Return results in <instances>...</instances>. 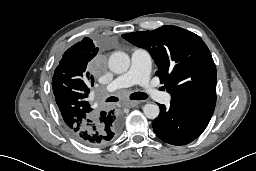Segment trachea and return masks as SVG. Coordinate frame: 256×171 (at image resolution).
Masks as SVG:
<instances>
[{
    "mask_svg": "<svg viewBox=\"0 0 256 171\" xmlns=\"http://www.w3.org/2000/svg\"><path fill=\"white\" fill-rule=\"evenodd\" d=\"M148 96L146 93H143V92H135V93H132L130 95V99L131 100H144L146 99ZM118 101V98L117 97H109L106 102H116Z\"/></svg>",
    "mask_w": 256,
    "mask_h": 171,
    "instance_id": "trachea-1",
    "label": "trachea"
}]
</instances>
